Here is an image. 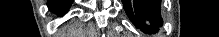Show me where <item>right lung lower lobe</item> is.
Here are the masks:
<instances>
[{
	"label": "right lung lower lobe",
	"mask_w": 219,
	"mask_h": 37,
	"mask_svg": "<svg viewBox=\"0 0 219 37\" xmlns=\"http://www.w3.org/2000/svg\"><path fill=\"white\" fill-rule=\"evenodd\" d=\"M71 1L61 0V1H49L48 5L52 11H55L58 14H63L67 11L70 6Z\"/></svg>",
	"instance_id": "right-lung-lower-lobe-1"
}]
</instances>
